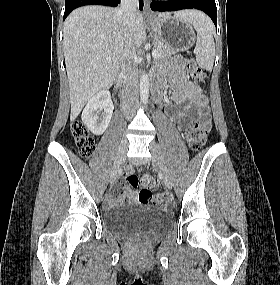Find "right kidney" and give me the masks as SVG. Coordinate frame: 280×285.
<instances>
[{
  "label": "right kidney",
  "mask_w": 280,
  "mask_h": 285,
  "mask_svg": "<svg viewBox=\"0 0 280 285\" xmlns=\"http://www.w3.org/2000/svg\"><path fill=\"white\" fill-rule=\"evenodd\" d=\"M113 109L114 105L109 91H100L86 104L82 112V121L93 134L101 135L109 125ZM101 110L103 113L98 116Z\"/></svg>",
  "instance_id": "obj_1"
}]
</instances>
